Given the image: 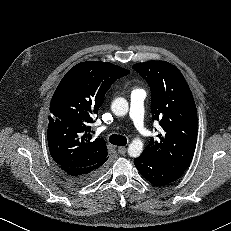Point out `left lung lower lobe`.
Instances as JSON below:
<instances>
[{
    "label": "left lung lower lobe",
    "mask_w": 231,
    "mask_h": 231,
    "mask_svg": "<svg viewBox=\"0 0 231 231\" xmlns=\"http://www.w3.org/2000/svg\"><path fill=\"white\" fill-rule=\"evenodd\" d=\"M134 164L140 174L155 186H164L176 181L186 170L161 164L144 153L134 159Z\"/></svg>",
    "instance_id": "1"
}]
</instances>
